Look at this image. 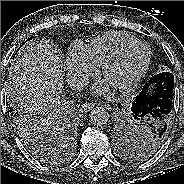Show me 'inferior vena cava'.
I'll return each mask as SVG.
<instances>
[{"label":"inferior vena cava","mask_w":184,"mask_h":184,"mask_svg":"<svg viewBox=\"0 0 184 184\" xmlns=\"http://www.w3.org/2000/svg\"><path fill=\"white\" fill-rule=\"evenodd\" d=\"M68 83L73 90L81 91L88 85L89 79L85 76L74 75L69 77Z\"/></svg>","instance_id":"inferior-vena-cava-1"}]
</instances>
